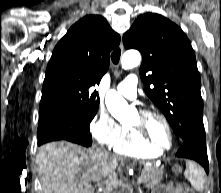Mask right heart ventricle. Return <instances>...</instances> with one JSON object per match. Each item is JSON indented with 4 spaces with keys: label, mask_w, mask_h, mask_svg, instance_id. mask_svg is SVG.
I'll use <instances>...</instances> for the list:
<instances>
[{
    "label": "right heart ventricle",
    "mask_w": 221,
    "mask_h": 193,
    "mask_svg": "<svg viewBox=\"0 0 221 193\" xmlns=\"http://www.w3.org/2000/svg\"><path fill=\"white\" fill-rule=\"evenodd\" d=\"M111 148L119 155L137 158H149L159 155L158 151L142 143L133 133L130 126H122L121 136Z\"/></svg>",
    "instance_id": "e07e8e85"
}]
</instances>
